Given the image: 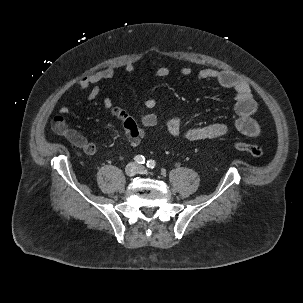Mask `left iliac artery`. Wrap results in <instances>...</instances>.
Listing matches in <instances>:
<instances>
[{
    "mask_svg": "<svg viewBox=\"0 0 303 303\" xmlns=\"http://www.w3.org/2000/svg\"><path fill=\"white\" fill-rule=\"evenodd\" d=\"M155 166H156V162L154 160L147 161L148 168L153 169V168H155Z\"/></svg>",
    "mask_w": 303,
    "mask_h": 303,
    "instance_id": "44dca946",
    "label": "left iliac artery"
}]
</instances>
